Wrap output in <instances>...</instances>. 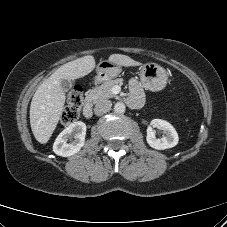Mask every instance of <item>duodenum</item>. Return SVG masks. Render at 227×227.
Masks as SVG:
<instances>
[{"label": "duodenum", "instance_id": "410a0bca", "mask_svg": "<svg viewBox=\"0 0 227 227\" xmlns=\"http://www.w3.org/2000/svg\"><path fill=\"white\" fill-rule=\"evenodd\" d=\"M103 79H104V75L102 74V75H100L98 77L97 80L100 81V80H103ZM83 115L86 118H90L93 115L92 105H91V103L89 101H85V103H84V106H83Z\"/></svg>", "mask_w": 227, "mask_h": 227}]
</instances>
